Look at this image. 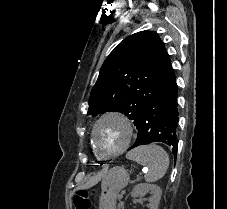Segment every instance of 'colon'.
<instances>
[{"mask_svg": "<svg viewBox=\"0 0 227 209\" xmlns=\"http://www.w3.org/2000/svg\"><path fill=\"white\" fill-rule=\"evenodd\" d=\"M73 208L74 209H91L92 202L90 194L86 189L78 190L73 197Z\"/></svg>", "mask_w": 227, "mask_h": 209, "instance_id": "obj_1", "label": "colon"}]
</instances>
